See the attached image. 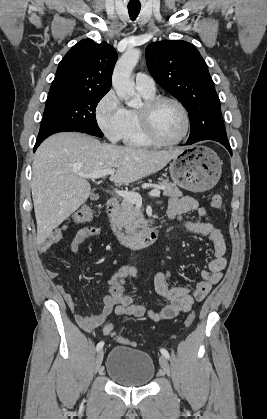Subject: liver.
<instances>
[{"mask_svg": "<svg viewBox=\"0 0 267 419\" xmlns=\"http://www.w3.org/2000/svg\"><path fill=\"white\" fill-rule=\"evenodd\" d=\"M181 148L147 150L101 143L77 132L57 133L37 149L33 161L32 198L37 221V244H42L64 220L81 207L91 186L81 173L112 168L110 180L127 184L164 168Z\"/></svg>", "mask_w": 267, "mask_h": 419, "instance_id": "1", "label": "liver"}]
</instances>
